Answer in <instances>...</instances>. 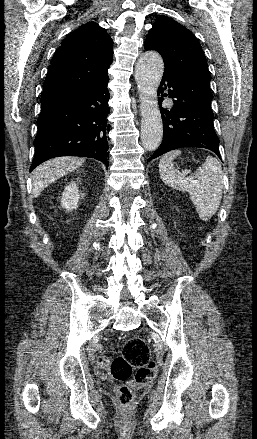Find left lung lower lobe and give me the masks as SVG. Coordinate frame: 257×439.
<instances>
[{
    "mask_svg": "<svg viewBox=\"0 0 257 439\" xmlns=\"http://www.w3.org/2000/svg\"><path fill=\"white\" fill-rule=\"evenodd\" d=\"M158 95L163 97V85L170 89L169 97L173 98L174 106L162 116L164 123L163 140L160 147L148 159V162L164 153L184 147L205 148L215 152L221 159L219 139L213 127L211 100L205 98L192 87L178 78L163 74ZM162 98H159L161 106Z\"/></svg>",
    "mask_w": 257,
    "mask_h": 439,
    "instance_id": "0a47b994",
    "label": "left lung lower lobe"
}]
</instances>
